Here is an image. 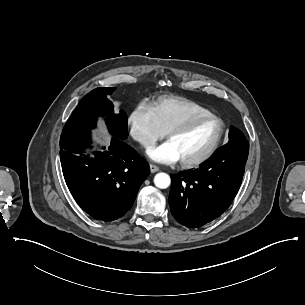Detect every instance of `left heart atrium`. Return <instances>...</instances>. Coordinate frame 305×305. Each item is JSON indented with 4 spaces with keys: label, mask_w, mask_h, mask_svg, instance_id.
<instances>
[{
    "label": "left heart atrium",
    "mask_w": 305,
    "mask_h": 305,
    "mask_svg": "<svg viewBox=\"0 0 305 305\" xmlns=\"http://www.w3.org/2000/svg\"><path fill=\"white\" fill-rule=\"evenodd\" d=\"M150 159L161 163H174L180 160V154L171 141L160 144L148 151Z\"/></svg>",
    "instance_id": "39dd6f15"
}]
</instances>
